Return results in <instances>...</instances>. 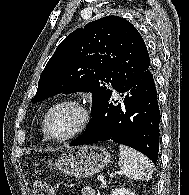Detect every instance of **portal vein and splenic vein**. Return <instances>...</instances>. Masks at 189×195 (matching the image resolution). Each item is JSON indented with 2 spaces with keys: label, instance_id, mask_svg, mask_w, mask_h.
Returning <instances> with one entry per match:
<instances>
[{
  "label": "portal vein and splenic vein",
  "instance_id": "1",
  "mask_svg": "<svg viewBox=\"0 0 189 195\" xmlns=\"http://www.w3.org/2000/svg\"><path fill=\"white\" fill-rule=\"evenodd\" d=\"M122 174V172H120ZM98 180L101 181L104 185H106V181L104 180L103 176H98Z\"/></svg>",
  "mask_w": 189,
  "mask_h": 195
}]
</instances>
